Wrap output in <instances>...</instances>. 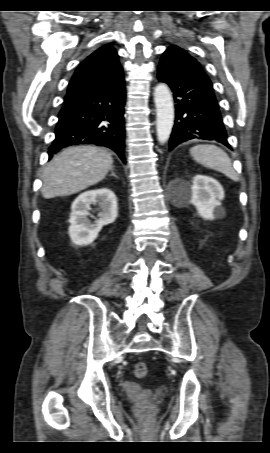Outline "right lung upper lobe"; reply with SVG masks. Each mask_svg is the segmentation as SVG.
Here are the masks:
<instances>
[{"instance_id":"cb5924a9","label":"right lung upper lobe","mask_w":270,"mask_h":453,"mask_svg":"<svg viewBox=\"0 0 270 453\" xmlns=\"http://www.w3.org/2000/svg\"><path fill=\"white\" fill-rule=\"evenodd\" d=\"M121 72L117 52L111 45H104L77 67L69 82L67 94L99 88Z\"/></svg>"}]
</instances>
